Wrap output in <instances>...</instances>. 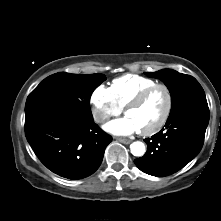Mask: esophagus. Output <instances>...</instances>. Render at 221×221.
<instances>
[{
    "instance_id": "1",
    "label": "esophagus",
    "mask_w": 221,
    "mask_h": 221,
    "mask_svg": "<svg viewBox=\"0 0 221 221\" xmlns=\"http://www.w3.org/2000/svg\"><path fill=\"white\" fill-rule=\"evenodd\" d=\"M116 140L123 143V144H129L131 142V140H129V139L120 138V137H117Z\"/></svg>"
}]
</instances>
